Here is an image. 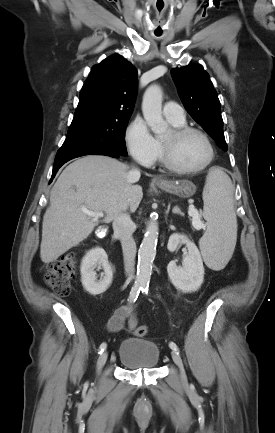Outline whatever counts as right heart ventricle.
<instances>
[{
	"instance_id": "e07e8e85",
	"label": "right heart ventricle",
	"mask_w": 275,
	"mask_h": 433,
	"mask_svg": "<svg viewBox=\"0 0 275 433\" xmlns=\"http://www.w3.org/2000/svg\"><path fill=\"white\" fill-rule=\"evenodd\" d=\"M169 123L173 126V127H181V126H185V120L183 121H174V120H170L168 119ZM159 156H161V146H160V154Z\"/></svg>"
}]
</instances>
